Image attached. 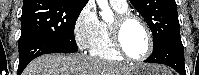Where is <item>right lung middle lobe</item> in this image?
I'll return each mask as SVG.
<instances>
[{
  "label": "right lung middle lobe",
  "instance_id": "1",
  "mask_svg": "<svg viewBox=\"0 0 199 75\" xmlns=\"http://www.w3.org/2000/svg\"><path fill=\"white\" fill-rule=\"evenodd\" d=\"M83 8L61 2L23 5L18 44L33 37H44L77 48L74 27Z\"/></svg>",
  "mask_w": 199,
  "mask_h": 75
}]
</instances>
